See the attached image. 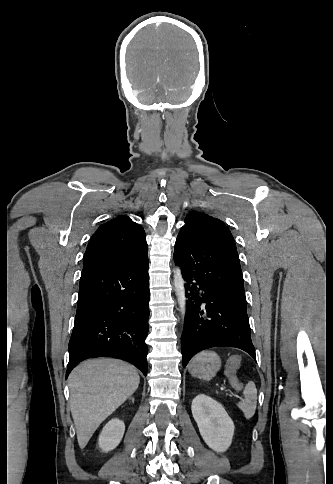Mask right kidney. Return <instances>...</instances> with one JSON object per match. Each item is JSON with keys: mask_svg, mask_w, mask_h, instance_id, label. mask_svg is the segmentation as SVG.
Wrapping results in <instances>:
<instances>
[{"mask_svg": "<svg viewBox=\"0 0 333 484\" xmlns=\"http://www.w3.org/2000/svg\"><path fill=\"white\" fill-rule=\"evenodd\" d=\"M125 431L122 420L112 419L102 429L99 436V447L104 452L113 450L121 441Z\"/></svg>", "mask_w": 333, "mask_h": 484, "instance_id": "obj_1", "label": "right kidney"}]
</instances>
